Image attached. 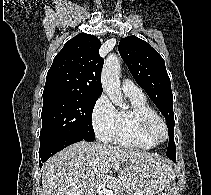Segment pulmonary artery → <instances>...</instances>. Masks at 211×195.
<instances>
[{
	"mask_svg": "<svg viewBox=\"0 0 211 195\" xmlns=\"http://www.w3.org/2000/svg\"><path fill=\"white\" fill-rule=\"evenodd\" d=\"M122 90L127 95H144L142 89L129 79L123 80Z\"/></svg>",
	"mask_w": 211,
	"mask_h": 195,
	"instance_id": "1",
	"label": "pulmonary artery"
}]
</instances>
